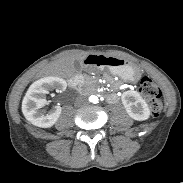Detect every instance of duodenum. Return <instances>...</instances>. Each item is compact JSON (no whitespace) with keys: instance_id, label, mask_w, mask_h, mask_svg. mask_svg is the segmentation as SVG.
<instances>
[{"instance_id":"obj_1","label":"duodenum","mask_w":183,"mask_h":183,"mask_svg":"<svg viewBox=\"0 0 183 183\" xmlns=\"http://www.w3.org/2000/svg\"><path fill=\"white\" fill-rule=\"evenodd\" d=\"M85 82V77L82 74H77L70 79V86L76 87L77 85H82Z\"/></svg>"}]
</instances>
